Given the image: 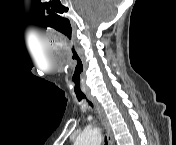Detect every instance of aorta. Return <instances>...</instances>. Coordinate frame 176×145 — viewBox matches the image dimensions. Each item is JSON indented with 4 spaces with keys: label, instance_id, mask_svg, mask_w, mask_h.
<instances>
[{
    "label": "aorta",
    "instance_id": "aorta-1",
    "mask_svg": "<svg viewBox=\"0 0 176 145\" xmlns=\"http://www.w3.org/2000/svg\"><path fill=\"white\" fill-rule=\"evenodd\" d=\"M77 145H100L101 133L99 129L82 132L76 139Z\"/></svg>",
    "mask_w": 176,
    "mask_h": 145
}]
</instances>
